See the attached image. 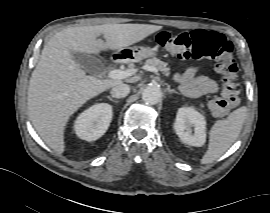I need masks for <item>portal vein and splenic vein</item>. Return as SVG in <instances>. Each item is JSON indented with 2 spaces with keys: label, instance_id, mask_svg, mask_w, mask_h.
Returning a JSON list of instances; mask_svg holds the SVG:
<instances>
[{
  "label": "portal vein and splenic vein",
  "instance_id": "18ae733b",
  "mask_svg": "<svg viewBox=\"0 0 270 213\" xmlns=\"http://www.w3.org/2000/svg\"><path fill=\"white\" fill-rule=\"evenodd\" d=\"M143 69H145L147 71H150V72L158 73V69L153 67V66H150V65L143 66ZM136 72H137V69H127V70L115 69V70H111L108 73V77L111 78V79H119V80H121V79H125V78H127L129 76L134 75Z\"/></svg>",
  "mask_w": 270,
  "mask_h": 213
}]
</instances>
